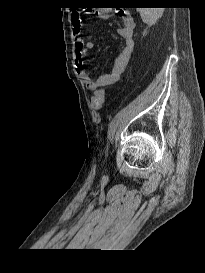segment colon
<instances>
[{
    "label": "colon",
    "mask_w": 205,
    "mask_h": 273,
    "mask_svg": "<svg viewBox=\"0 0 205 273\" xmlns=\"http://www.w3.org/2000/svg\"><path fill=\"white\" fill-rule=\"evenodd\" d=\"M105 98V93L103 91H99L95 93L93 100H92V105L95 109H100L101 106L103 105Z\"/></svg>",
    "instance_id": "colon-1"
}]
</instances>
